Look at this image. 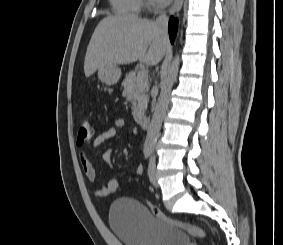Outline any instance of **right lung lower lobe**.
Instances as JSON below:
<instances>
[{"instance_id": "obj_1", "label": "right lung lower lobe", "mask_w": 283, "mask_h": 245, "mask_svg": "<svg viewBox=\"0 0 283 245\" xmlns=\"http://www.w3.org/2000/svg\"><path fill=\"white\" fill-rule=\"evenodd\" d=\"M177 28H178L177 19H175L174 17H171L170 20H169V36H170V40H171L172 43H173L174 38L176 36Z\"/></svg>"}]
</instances>
